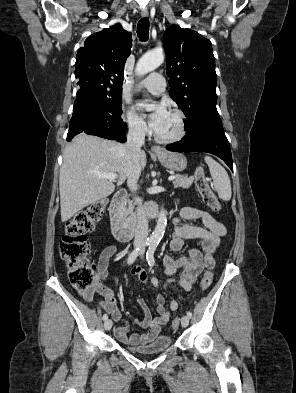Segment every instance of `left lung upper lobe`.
Masks as SVG:
<instances>
[{"mask_svg":"<svg viewBox=\"0 0 296 393\" xmlns=\"http://www.w3.org/2000/svg\"><path fill=\"white\" fill-rule=\"evenodd\" d=\"M163 44L170 96L186 115V132L203 120L220 118L211 42L193 30L175 25L165 31Z\"/></svg>","mask_w":296,"mask_h":393,"instance_id":"5c2ea615","label":"left lung upper lobe"}]
</instances>
